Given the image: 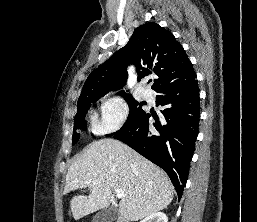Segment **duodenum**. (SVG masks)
<instances>
[{
	"label": "duodenum",
	"mask_w": 257,
	"mask_h": 222,
	"mask_svg": "<svg viewBox=\"0 0 257 222\" xmlns=\"http://www.w3.org/2000/svg\"><path fill=\"white\" fill-rule=\"evenodd\" d=\"M115 222H129L125 216H118Z\"/></svg>",
	"instance_id": "duodenum-1"
}]
</instances>
